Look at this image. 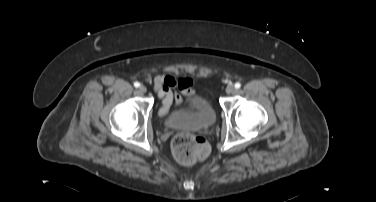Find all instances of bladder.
Wrapping results in <instances>:
<instances>
[{
    "label": "bladder",
    "instance_id": "31cf9c89",
    "mask_svg": "<svg viewBox=\"0 0 376 202\" xmlns=\"http://www.w3.org/2000/svg\"><path fill=\"white\" fill-rule=\"evenodd\" d=\"M216 121V113L207 99L194 96L187 110L168 114L163 123L168 128L181 130H199L212 126Z\"/></svg>",
    "mask_w": 376,
    "mask_h": 202
}]
</instances>
